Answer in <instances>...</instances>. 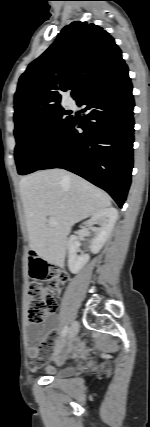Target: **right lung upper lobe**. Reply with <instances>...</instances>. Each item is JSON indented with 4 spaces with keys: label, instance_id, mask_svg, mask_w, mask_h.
<instances>
[{
    "label": "right lung upper lobe",
    "instance_id": "1",
    "mask_svg": "<svg viewBox=\"0 0 150 427\" xmlns=\"http://www.w3.org/2000/svg\"><path fill=\"white\" fill-rule=\"evenodd\" d=\"M126 64L108 32L95 24L75 21L34 60L19 79L14 121L60 105L61 93L72 89L78 101L87 91Z\"/></svg>",
    "mask_w": 150,
    "mask_h": 427
}]
</instances>
